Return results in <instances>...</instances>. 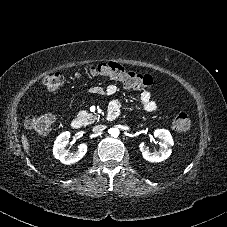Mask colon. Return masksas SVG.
I'll list each match as a JSON object with an SVG mask.
<instances>
[{"instance_id":"1","label":"colon","mask_w":227,"mask_h":227,"mask_svg":"<svg viewBox=\"0 0 227 227\" xmlns=\"http://www.w3.org/2000/svg\"><path fill=\"white\" fill-rule=\"evenodd\" d=\"M90 76H105L121 82L127 88L145 89L152 84V77L140 74L116 62L101 63L85 71ZM66 81L63 73H52L44 78V85L50 91L58 90ZM56 117L53 114L29 115L26 126L34 133L44 134L51 130ZM172 127L177 132H186L191 127V119L186 113H179L173 120Z\"/></svg>"}]
</instances>
